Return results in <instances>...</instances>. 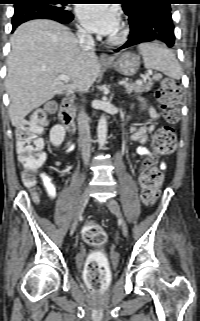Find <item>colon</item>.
Returning <instances> with one entry per match:
<instances>
[{"label":"colon","mask_w":200,"mask_h":321,"mask_svg":"<svg viewBox=\"0 0 200 321\" xmlns=\"http://www.w3.org/2000/svg\"><path fill=\"white\" fill-rule=\"evenodd\" d=\"M181 88L179 84L169 78L160 82L157 98L161 104L166 124L160 127L153 137V150L158 156L171 154L176 147L174 124L180 116L179 98ZM54 110L52 103H47L42 109L34 111L30 117L22 122L16 132V147L19 163L22 168V180L28 187L36 184V171L45 160L43 140L40 134L47 123V117ZM163 181V173L156 162L147 160L141 165L140 184L142 187V201L145 205H152L159 194ZM83 240L92 246H101L106 242L107 234L96 223L89 222L82 229ZM108 269L106 259L100 253H95L87 260L84 277L88 286L102 291L107 284Z\"/></svg>","instance_id":"5ec220e1"}]
</instances>
